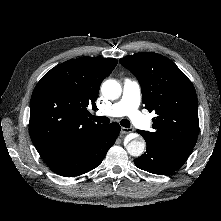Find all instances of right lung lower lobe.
I'll return each mask as SVG.
<instances>
[{
    "label": "right lung lower lobe",
    "instance_id": "1",
    "mask_svg": "<svg viewBox=\"0 0 221 221\" xmlns=\"http://www.w3.org/2000/svg\"><path fill=\"white\" fill-rule=\"evenodd\" d=\"M120 129L118 123L102 125L89 140L64 149L44 161L54 173L64 177L87 173L101 164Z\"/></svg>",
    "mask_w": 221,
    "mask_h": 221
}]
</instances>
